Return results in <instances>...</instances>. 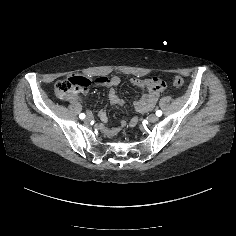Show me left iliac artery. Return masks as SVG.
I'll return each mask as SVG.
<instances>
[{
  "label": "left iliac artery",
  "instance_id": "left-iliac-artery-1",
  "mask_svg": "<svg viewBox=\"0 0 236 236\" xmlns=\"http://www.w3.org/2000/svg\"><path fill=\"white\" fill-rule=\"evenodd\" d=\"M156 115H157L158 117H160V116L162 115V111H161V110H157V111H156Z\"/></svg>",
  "mask_w": 236,
  "mask_h": 236
}]
</instances>
